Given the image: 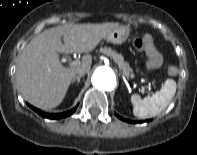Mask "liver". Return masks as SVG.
Returning <instances> with one entry per match:
<instances>
[{
	"label": "liver",
	"mask_w": 197,
	"mask_h": 155,
	"mask_svg": "<svg viewBox=\"0 0 197 155\" xmlns=\"http://www.w3.org/2000/svg\"><path fill=\"white\" fill-rule=\"evenodd\" d=\"M118 23L66 24L47 29L37 35L18 57L16 81L18 90L30 104L52 109L64 99L78 69L91 67V55L70 68L59 62V53H88ZM63 38L64 44L61 41Z\"/></svg>",
	"instance_id": "6515ba94"
}]
</instances>
